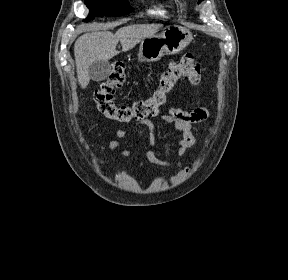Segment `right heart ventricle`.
Here are the masks:
<instances>
[{
  "label": "right heart ventricle",
  "instance_id": "e07e8e85",
  "mask_svg": "<svg viewBox=\"0 0 288 280\" xmlns=\"http://www.w3.org/2000/svg\"><path fill=\"white\" fill-rule=\"evenodd\" d=\"M174 12H176V7L174 5H170V6L160 5V6L155 7L153 10H151V13L164 16V17Z\"/></svg>",
  "mask_w": 288,
  "mask_h": 280
}]
</instances>
